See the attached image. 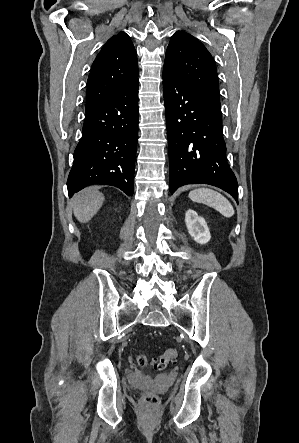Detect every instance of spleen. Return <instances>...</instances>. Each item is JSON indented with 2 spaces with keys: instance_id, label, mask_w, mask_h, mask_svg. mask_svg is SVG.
I'll return each instance as SVG.
<instances>
[{
  "instance_id": "obj_1",
  "label": "spleen",
  "mask_w": 299,
  "mask_h": 443,
  "mask_svg": "<svg viewBox=\"0 0 299 443\" xmlns=\"http://www.w3.org/2000/svg\"><path fill=\"white\" fill-rule=\"evenodd\" d=\"M189 198L194 202L203 203L214 208L226 218L232 217L235 213L232 204L227 198L209 188L195 189L189 193Z\"/></svg>"
}]
</instances>
